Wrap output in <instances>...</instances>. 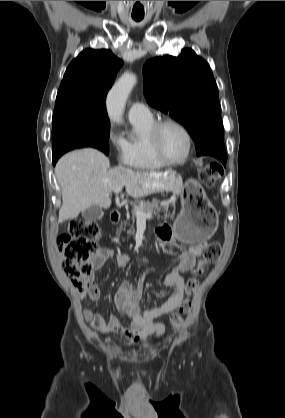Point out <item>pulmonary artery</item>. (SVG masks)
<instances>
[{"mask_svg":"<svg viewBox=\"0 0 285 418\" xmlns=\"http://www.w3.org/2000/svg\"><path fill=\"white\" fill-rule=\"evenodd\" d=\"M128 117L131 121H147L153 119L152 112L142 102H134L128 110Z\"/></svg>","mask_w":285,"mask_h":418,"instance_id":"pulmonary-artery-1","label":"pulmonary artery"}]
</instances>
